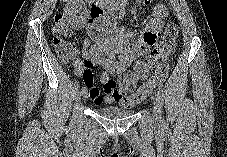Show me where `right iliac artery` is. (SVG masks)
Masks as SVG:
<instances>
[{
  "mask_svg": "<svg viewBox=\"0 0 227 157\" xmlns=\"http://www.w3.org/2000/svg\"><path fill=\"white\" fill-rule=\"evenodd\" d=\"M78 87H79V82L76 81V82L73 84V88H74V89H77Z\"/></svg>",
  "mask_w": 227,
  "mask_h": 157,
  "instance_id": "82829eb1",
  "label": "right iliac artery"
}]
</instances>
